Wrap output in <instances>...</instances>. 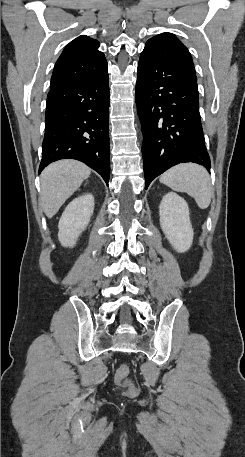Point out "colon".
Here are the masks:
<instances>
[{
	"label": "colon",
	"mask_w": 245,
	"mask_h": 457,
	"mask_svg": "<svg viewBox=\"0 0 245 457\" xmlns=\"http://www.w3.org/2000/svg\"><path fill=\"white\" fill-rule=\"evenodd\" d=\"M128 374H129V367L126 364H121L115 374V381L116 383L125 388L126 393L128 395H134L136 394V387L133 385V383L128 380Z\"/></svg>",
	"instance_id": "1"
}]
</instances>
